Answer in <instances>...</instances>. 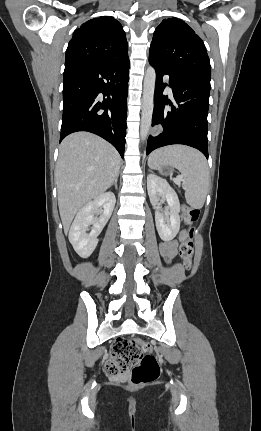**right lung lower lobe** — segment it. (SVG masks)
<instances>
[{"mask_svg": "<svg viewBox=\"0 0 261 431\" xmlns=\"http://www.w3.org/2000/svg\"><path fill=\"white\" fill-rule=\"evenodd\" d=\"M129 58L119 62L65 66L60 142L88 131L110 142L124 157Z\"/></svg>", "mask_w": 261, "mask_h": 431, "instance_id": "right-lung-lower-lobe-1", "label": "right lung lower lobe"}]
</instances>
